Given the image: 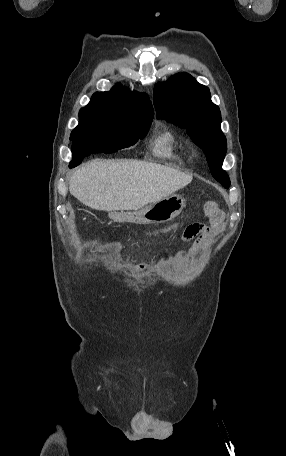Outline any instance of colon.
Returning <instances> with one entry per match:
<instances>
[{"label":"colon","mask_w":286,"mask_h":456,"mask_svg":"<svg viewBox=\"0 0 286 456\" xmlns=\"http://www.w3.org/2000/svg\"><path fill=\"white\" fill-rule=\"evenodd\" d=\"M216 208H217V205H216L215 202H212V201H211V202H207V203L205 204V209H206L207 212L213 211V210H215ZM189 226H191V225H189Z\"/></svg>","instance_id":"obj_1"}]
</instances>
